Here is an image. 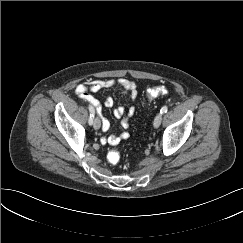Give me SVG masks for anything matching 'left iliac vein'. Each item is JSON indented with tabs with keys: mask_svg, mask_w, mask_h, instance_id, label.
I'll use <instances>...</instances> for the list:
<instances>
[{
	"mask_svg": "<svg viewBox=\"0 0 243 243\" xmlns=\"http://www.w3.org/2000/svg\"><path fill=\"white\" fill-rule=\"evenodd\" d=\"M161 121H162V114L159 113V114L156 115V117L154 119V122H153L154 128H158L161 124Z\"/></svg>",
	"mask_w": 243,
	"mask_h": 243,
	"instance_id": "left-iliac-vein-1",
	"label": "left iliac vein"
}]
</instances>
